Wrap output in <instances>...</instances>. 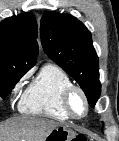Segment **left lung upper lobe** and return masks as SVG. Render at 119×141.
I'll return each instance as SVG.
<instances>
[{"label":"left lung upper lobe","mask_w":119,"mask_h":141,"mask_svg":"<svg viewBox=\"0 0 119 141\" xmlns=\"http://www.w3.org/2000/svg\"><path fill=\"white\" fill-rule=\"evenodd\" d=\"M40 32L45 53L78 82L94 107L101 85L91 33L72 15L51 11L42 16Z\"/></svg>","instance_id":"obj_1"}]
</instances>
